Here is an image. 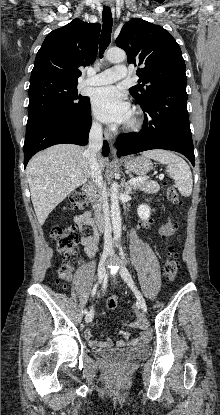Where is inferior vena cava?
<instances>
[{"label":"inferior vena cava","instance_id":"inferior-vena-cava-1","mask_svg":"<svg viewBox=\"0 0 220 415\" xmlns=\"http://www.w3.org/2000/svg\"><path fill=\"white\" fill-rule=\"evenodd\" d=\"M102 144H103L102 126L98 123H94L90 129L89 144H88L86 154L88 157V163H89V168H90V177L97 186H101V182H102L101 167L98 162V156H99V152L102 147ZM103 210H104V214L103 216H100V215L97 216V222L100 226L104 227V250L112 251L113 250L112 235H111L112 227H111L108 214L107 212H105L106 207L103 206ZM98 211H99V208H97L96 212Z\"/></svg>","mask_w":220,"mask_h":415}]
</instances>
